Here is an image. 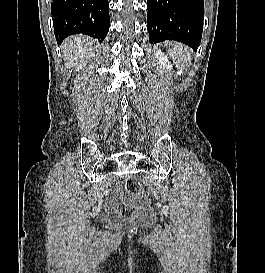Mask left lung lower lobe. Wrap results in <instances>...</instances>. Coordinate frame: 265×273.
<instances>
[{"label": "left lung lower lobe", "instance_id": "0a47b994", "mask_svg": "<svg viewBox=\"0 0 265 273\" xmlns=\"http://www.w3.org/2000/svg\"><path fill=\"white\" fill-rule=\"evenodd\" d=\"M147 9L151 43L175 40L197 50L203 29L204 0H147Z\"/></svg>", "mask_w": 265, "mask_h": 273}]
</instances>
